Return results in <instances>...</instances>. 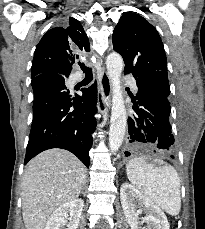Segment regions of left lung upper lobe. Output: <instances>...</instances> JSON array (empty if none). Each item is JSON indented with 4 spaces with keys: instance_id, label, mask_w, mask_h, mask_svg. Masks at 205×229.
I'll return each mask as SVG.
<instances>
[{
    "instance_id": "obj_1",
    "label": "left lung upper lobe",
    "mask_w": 205,
    "mask_h": 229,
    "mask_svg": "<svg viewBox=\"0 0 205 229\" xmlns=\"http://www.w3.org/2000/svg\"><path fill=\"white\" fill-rule=\"evenodd\" d=\"M113 49L125 63V74L131 73L136 82L155 88L169 96L166 55L161 38L143 17L124 13L113 32Z\"/></svg>"
}]
</instances>
